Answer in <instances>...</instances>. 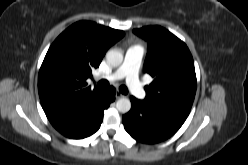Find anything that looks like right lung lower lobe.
Segmentation results:
<instances>
[{"mask_svg": "<svg viewBox=\"0 0 248 165\" xmlns=\"http://www.w3.org/2000/svg\"><path fill=\"white\" fill-rule=\"evenodd\" d=\"M115 92L112 86L105 89L102 98L92 107L75 118L53 126L61 134L72 139H82L94 134L102 123L104 110L115 100Z\"/></svg>", "mask_w": 248, "mask_h": 165, "instance_id": "98d812e1", "label": "right lung lower lobe"}]
</instances>
